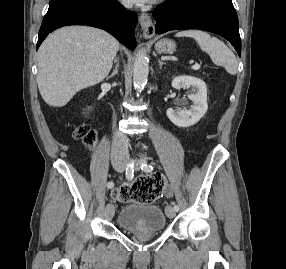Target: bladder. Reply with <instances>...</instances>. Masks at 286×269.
I'll list each match as a JSON object with an SVG mask.
<instances>
[{
  "instance_id": "bladder-1",
  "label": "bladder",
  "mask_w": 286,
  "mask_h": 269,
  "mask_svg": "<svg viewBox=\"0 0 286 269\" xmlns=\"http://www.w3.org/2000/svg\"><path fill=\"white\" fill-rule=\"evenodd\" d=\"M119 227L131 233L162 232L167 227L166 215L157 205L127 203L119 211Z\"/></svg>"
}]
</instances>
